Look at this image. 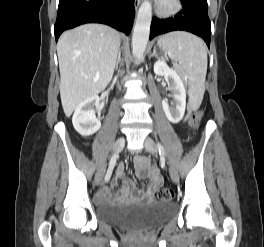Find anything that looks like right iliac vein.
<instances>
[{"instance_id": "63e3f726", "label": "right iliac vein", "mask_w": 264, "mask_h": 247, "mask_svg": "<svg viewBox=\"0 0 264 247\" xmlns=\"http://www.w3.org/2000/svg\"><path fill=\"white\" fill-rule=\"evenodd\" d=\"M124 145H125L124 137L118 138L113 145V154H118L119 152H121V150L124 148ZM105 168H106L105 165L102 166L95 175V183L97 185H99L103 179Z\"/></svg>"}]
</instances>
